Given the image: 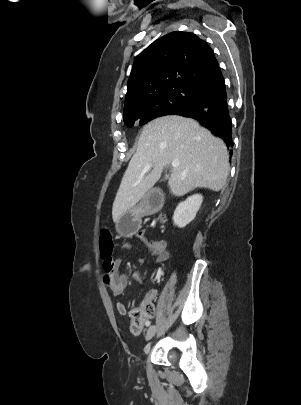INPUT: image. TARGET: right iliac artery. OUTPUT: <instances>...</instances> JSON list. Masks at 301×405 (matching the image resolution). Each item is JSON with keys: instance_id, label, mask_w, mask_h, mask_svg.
I'll return each instance as SVG.
<instances>
[{"instance_id": "right-iliac-artery-1", "label": "right iliac artery", "mask_w": 301, "mask_h": 405, "mask_svg": "<svg viewBox=\"0 0 301 405\" xmlns=\"http://www.w3.org/2000/svg\"><path fill=\"white\" fill-rule=\"evenodd\" d=\"M149 325H150V321H147V322H146V326H149Z\"/></svg>"}]
</instances>
